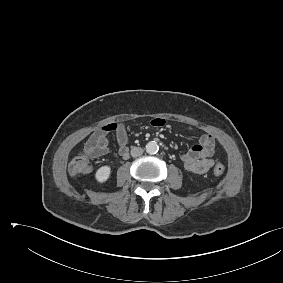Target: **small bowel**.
I'll use <instances>...</instances> for the list:
<instances>
[{
    "label": "small bowel",
    "instance_id": "c3829d8e",
    "mask_svg": "<svg viewBox=\"0 0 283 283\" xmlns=\"http://www.w3.org/2000/svg\"><path fill=\"white\" fill-rule=\"evenodd\" d=\"M152 125L162 127L165 121L162 118L152 120ZM114 132L116 135L118 149L116 155L127 158L129 155L128 135L123 123H108L96 130L87 140L85 150L93 158H99L112 153L108 141V134ZM215 140L211 135H203L198 143L185 153L181 154L180 161L183 167L192 173L203 174L208 172L214 164Z\"/></svg>",
    "mask_w": 283,
    "mask_h": 283
}]
</instances>
